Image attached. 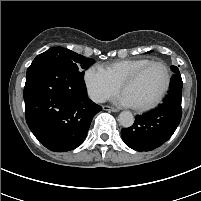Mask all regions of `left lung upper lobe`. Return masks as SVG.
Segmentation results:
<instances>
[{
  "instance_id": "5c2ea615",
  "label": "left lung upper lobe",
  "mask_w": 201,
  "mask_h": 201,
  "mask_svg": "<svg viewBox=\"0 0 201 201\" xmlns=\"http://www.w3.org/2000/svg\"><path fill=\"white\" fill-rule=\"evenodd\" d=\"M174 67H176V66H171V70L173 71V72H175V70H174Z\"/></svg>"
}]
</instances>
